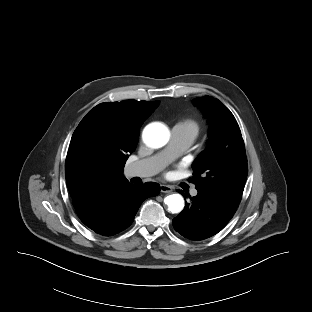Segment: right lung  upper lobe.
<instances>
[{"label":"right lung upper lobe","mask_w":312,"mask_h":312,"mask_svg":"<svg viewBox=\"0 0 312 312\" xmlns=\"http://www.w3.org/2000/svg\"><path fill=\"white\" fill-rule=\"evenodd\" d=\"M159 101L101 103L90 110L71 138L65 163L66 183L80 219L92 217L124 183L128 154L139 129Z\"/></svg>","instance_id":"right-lung-upper-lobe-1"}]
</instances>
